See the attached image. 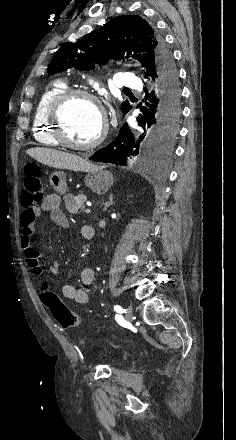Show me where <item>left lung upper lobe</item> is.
I'll return each mask as SVG.
<instances>
[{
    "label": "left lung upper lobe",
    "mask_w": 236,
    "mask_h": 440,
    "mask_svg": "<svg viewBox=\"0 0 236 440\" xmlns=\"http://www.w3.org/2000/svg\"><path fill=\"white\" fill-rule=\"evenodd\" d=\"M138 60L146 69L149 64L172 61L163 38L143 18L124 15L111 19L97 32L76 43L66 42L55 52L48 73L56 74L68 68L83 71L94 69L95 63L104 65L109 59ZM130 106L122 103L125 113Z\"/></svg>",
    "instance_id": "5c2ea615"
}]
</instances>
